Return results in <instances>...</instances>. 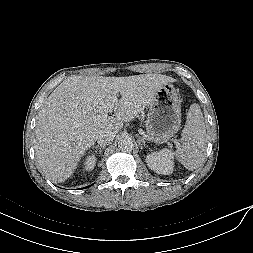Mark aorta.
Returning a JSON list of instances; mask_svg holds the SVG:
<instances>
[{
    "instance_id": "obj_1",
    "label": "aorta",
    "mask_w": 253,
    "mask_h": 253,
    "mask_svg": "<svg viewBox=\"0 0 253 253\" xmlns=\"http://www.w3.org/2000/svg\"><path fill=\"white\" fill-rule=\"evenodd\" d=\"M118 148L124 152H130L134 148V143L131 138H122L118 142Z\"/></svg>"
}]
</instances>
